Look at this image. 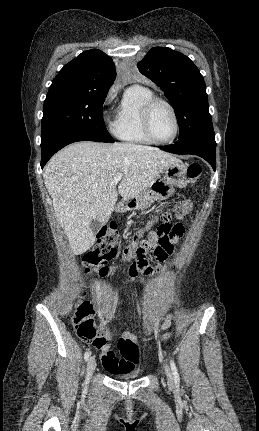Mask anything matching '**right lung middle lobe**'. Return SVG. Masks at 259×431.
<instances>
[{"instance_id":"right-lung-middle-lobe-1","label":"right lung middle lobe","mask_w":259,"mask_h":431,"mask_svg":"<svg viewBox=\"0 0 259 431\" xmlns=\"http://www.w3.org/2000/svg\"><path fill=\"white\" fill-rule=\"evenodd\" d=\"M107 93L63 89L48 91L41 121V140L61 130H80L114 142L103 120L102 106Z\"/></svg>"}]
</instances>
